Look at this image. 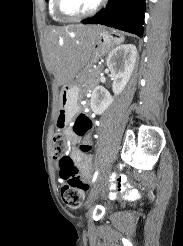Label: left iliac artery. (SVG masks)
<instances>
[{
  "label": "left iliac artery",
  "instance_id": "1",
  "mask_svg": "<svg viewBox=\"0 0 183 246\" xmlns=\"http://www.w3.org/2000/svg\"><path fill=\"white\" fill-rule=\"evenodd\" d=\"M98 173H99V171H98V169H97V170L95 171L94 175H93L92 182H95V181H96L97 176H98Z\"/></svg>",
  "mask_w": 183,
  "mask_h": 246
}]
</instances>
